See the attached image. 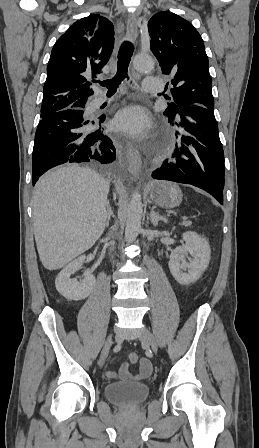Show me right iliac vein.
Returning <instances> with one entry per match:
<instances>
[{
    "mask_svg": "<svg viewBox=\"0 0 259 448\" xmlns=\"http://www.w3.org/2000/svg\"><path fill=\"white\" fill-rule=\"evenodd\" d=\"M112 343H113L112 342V334H109L107 339H106V342L104 344L103 350L101 352L100 359L98 361V364H99L100 367L103 366V364H104V362H105V360H106V358H107V356L109 354V351H110V348L112 346Z\"/></svg>",
    "mask_w": 259,
    "mask_h": 448,
    "instance_id": "63e3f726",
    "label": "right iliac vein"
}]
</instances>
